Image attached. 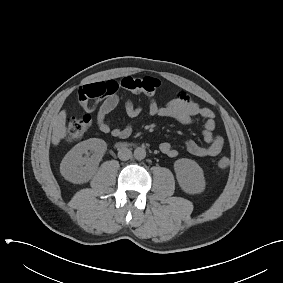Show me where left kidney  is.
<instances>
[{"label":"left kidney","mask_w":283,"mask_h":283,"mask_svg":"<svg viewBox=\"0 0 283 283\" xmlns=\"http://www.w3.org/2000/svg\"><path fill=\"white\" fill-rule=\"evenodd\" d=\"M177 181L183 191L198 194L205 189V178L202 168L191 159L182 158L174 163Z\"/></svg>","instance_id":"obj_1"}]
</instances>
